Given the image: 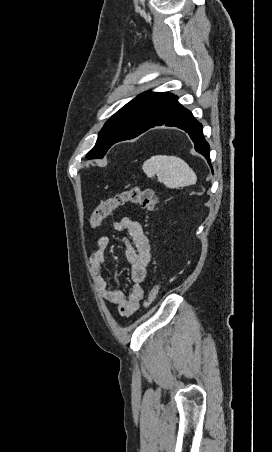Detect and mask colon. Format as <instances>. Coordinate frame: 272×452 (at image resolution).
<instances>
[{"instance_id": "obj_1", "label": "colon", "mask_w": 272, "mask_h": 452, "mask_svg": "<svg viewBox=\"0 0 272 452\" xmlns=\"http://www.w3.org/2000/svg\"><path fill=\"white\" fill-rule=\"evenodd\" d=\"M158 202V196L152 189H143L139 186H129L121 191L101 199L94 207L90 215V223L93 227H98L107 218L120 208L133 205L144 210H153ZM160 285L152 286L145 306H149L157 297Z\"/></svg>"}]
</instances>
